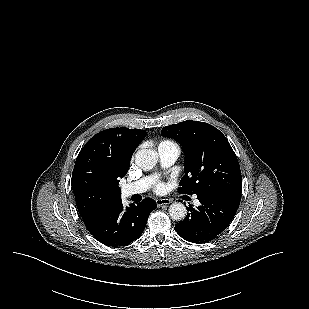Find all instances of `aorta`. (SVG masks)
I'll use <instances>...</instances> for the list:
<instances>
[{"label": "aorta", "mask_w": 309, "mask_h": 309, "mask_svg": "<svg viewBox=\"0 0 309 309\" xmlns=\"http://www.w3.org/2000/svg\"><path fill=\"white\" fill-rule=\"evenodd\" d=\"M158 161L157 152L151 149H141L135 154V163L144 171L151 170ZM187 209L180 202L172 203L169 207V215L173 220L181 221L186 217Z\"/></svg>", "instance_id": "aorta-1"}]
</instances>
